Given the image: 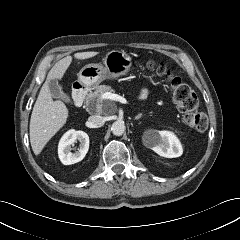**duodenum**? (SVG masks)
Listing matches in <instances>:
<instances>
[{"label": "duodenum", "mask_w": 240, "mask_h": 240, "mask_svg": "<svg viewBox=\"0 0 240 240\" xmlns=\"http://www.w3.org/2000/svg\"><path fill=\"white\" fill-rule=\"evenodd\" d=\"M86 87L83 85H76L73 89V101L75 106H80L85 100L86 97Z\"/></svg>", "instance_id": "1"}]
</instances>
